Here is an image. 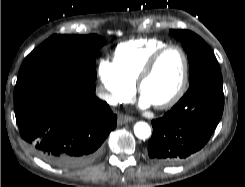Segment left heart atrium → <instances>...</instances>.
<instances>
[{
    "mask_svg": "<svg viewBox=\"0 0 245 187\" xmlns=\"http://www.w3.org/2000/svg\"><path fill=\"white\" fill-rule=\"evenodd\" d=\"M140 105L144 108L148 107L151 105L148 99H146L144 96L141 97L140 99Z\"/></svg>",
    "mask_w": 245,
    "mask_h": 187,
    "instance_id": "1",
    "label": "left heart atrium"
}]
</instances>
